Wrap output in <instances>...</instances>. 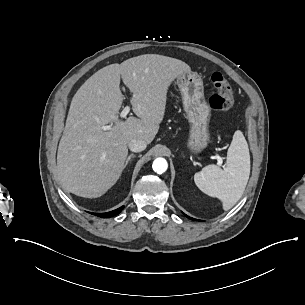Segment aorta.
Segmentation results:
<instances>
[{"mask_svg": "<svg viewBox=\"0 0 305 305\" xmlns=\"http://www.w3.org/2000/svg\"><path fill=\"white\" fill-rule=\"evenodd\" d=\"M152 168H153L154 172H156L158 174H162L167 170L168 163H167L166 159L159 157L153 161Z\"/></svg>", "mask_w": 305, "mask_h": 305, "instance_id": "obj_1", "label": "aorta"}]
</instances>
